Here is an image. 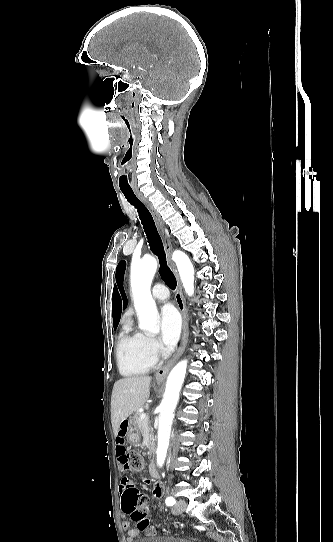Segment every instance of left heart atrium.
<instances>
[{
	"label": "left heart atrium",
	"mask_w": 333,
	"mask_h": 542,
	"mask_svg": "<svg viewBox=\"0 0 333 542\" xmlns=\"http://www.w3.org/2000/svg\"><path fill=\"white\" fill-rule=\"evenodd\" d=\"M181 320L177 310L172 305H166L161 310L160 340L166 350H172L178 340Z\"/></svg>",
	"instance_id": "obj_1"
}]
</instances>
